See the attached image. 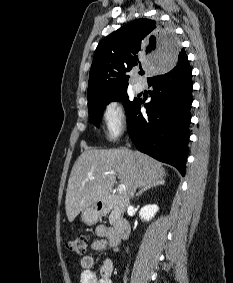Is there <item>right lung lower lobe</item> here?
<instances>
[{
    "mask_svg": "<svg viewBox=\"0 0 233 283\" xmlns=\"http://www.w3.org/2000/svg\"><path fill=\"white\" fill-rule=\"evenodd\" d=\"M151 77L152 97L140 113L137 100L127 118L128 133L137 149L175 166L185 174L192 103V69L185 55L171 70Z\"/></svg>",
    "mask_w": 233,
    "mask_h": 283,
    "instance_id": "98d812e1",
    "label": "right lung lower lobe"
}]
</instances>
